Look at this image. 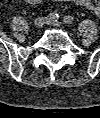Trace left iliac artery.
<instances>
[{
  "label": "left iliac artery",
  "mask_w": 100,
  "mask_h": 118,
  "mask_svg": "<svg viewBox=\"0 0 100 118\" xmlns=\"http://www.w3.org/2000/svg\"><path fill=\"white\" fill-rule=\"evenodd\" d=\"M63 21H64L65 24H69L70 25V24L73 23L74 19L71 16H65Z\"/></svg>",
  "instance_id": "44dca946"
}]
</instances>
